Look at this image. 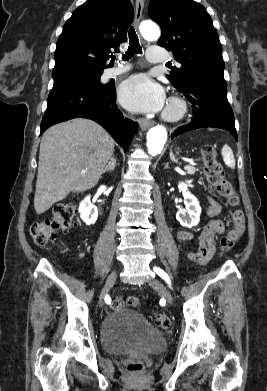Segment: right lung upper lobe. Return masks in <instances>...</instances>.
I'll list each match as a JSON object with an SVG mask.
<instances>
[{
  "mask_svg": "<svg viewBox=\"0 0 267 391\" xmlns=\"http://www.w3.org/2000/svg\"><path fill=\"white\" fill-rule=\"evenodd\" d=\"M134 10L129 0H89L65 23L57 41L53 77L103 72L111 48L127 40Z\"/></svg>",
  "mask_w": 267,
  "mask_h": 391,
  "instance_id": "right-lung-upper-lobe-1",
  "label": "right lung upper lobe"
}]
</instances>
